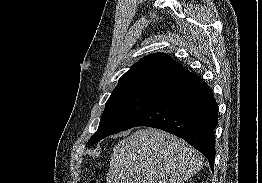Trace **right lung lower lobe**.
Returning <instances> with one entry per match:
<instances>
[{
  "label": "right lung lower lobe",
  "instance_id": "98d812e1",
  "mask_svg": "<svg viewBox=\"0 0 262 183\" xmlns=\"http://www.w3.org/2000/svg\"><path fill=\"white\" fill-rule=\"evenodd\" d=\"M217 123L218 105L210 87L189 72L161 88L123 131L148 126L177 135L199 150L213 171Z\"/></svg>",
  "mask_w": 262,
  "mask_h": 183
}]
</instances>
